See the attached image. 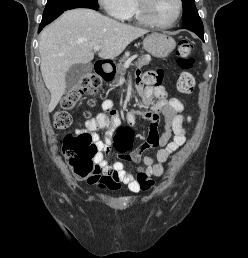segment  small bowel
<instances>
[{
    "label": "small bowel",
    "instance_id": "small-bowel-1",
    "mask_svg": "<svg viewBox=\"0 0 248 258\" xmlns=\"http://www.w3.org/2000/svg\"><path fill=\"white\" fill-rule=\"evenodd\" d=\"M137 89L143 103L151 107L150 111L132 110L127 115V122L133 125L137 118L149 120L150 132L147 139L135 147L133 152L125 159L131 162H139L143 159L145 167L135 176L127 171L120 160L109 163L104 154L110 151L111 139L114 131L120 125V118L113 108V102L105 99L102 102V112L85 122L84 128L77 130L87 132L97 145V155L94 162L103 170V176L99 180H87V185H98L101 188L116 189L124 184L132 192L147 191L151 187L150 178L161 176L164 171V163L177 151L186 141V130L183 126L184 106L176 97L168 98L165 88L161 85L145 86L140 81ZM154 98L157 99L154 102ZM160 115L164 118V131L157 132ZM106 129L104 141L99 139L97 131ZM153 147H160L156 159L152 156H143L144 152Z\"/></svg>",
    "mask_w": 248,
    "mask_h": 258
}]
</instances>
